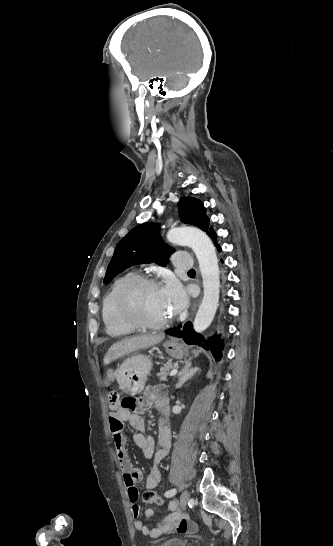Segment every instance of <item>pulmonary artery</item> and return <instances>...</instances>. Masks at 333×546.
Here are the masks:
<instances>
[{
  "mask_svg": "<svg viewBox=\"0 0 333 546\" xmlns=\"http://www.w3.org/2000/svg\"><path fill=\"white\" fill-rule=\"evenodd\" d=\"M172 259L174 266L178 269L189 270L192 267L190 257L183 252H176Z\"/></svg>",
  "mask_w": 333,
  "mask_h": 546,
  "instance_id": "1",
  "label": "pulmonary artery"
}]
</instances>
